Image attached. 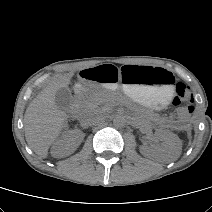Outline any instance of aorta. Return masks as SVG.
<instances>
[{"label":"aorta","mask_w":212,"mask_h":212,"mask_svg":"<svg viewBox=\"0 0 212 212\" xmlns=\"http://www.w3.org/2000/svg\"><path fill=\"white\" fill-rule=\"evenodd\" d=\"M113 125L116 128H122L126 125V119L122 115H116L113 119Z\"/></svg>","instance_id":"aorta-1"}]
</instances>
